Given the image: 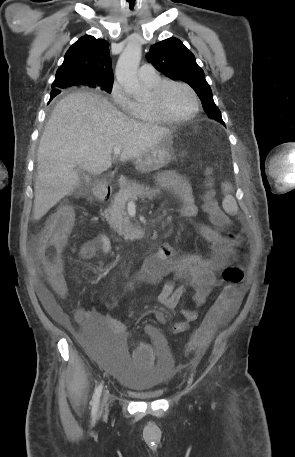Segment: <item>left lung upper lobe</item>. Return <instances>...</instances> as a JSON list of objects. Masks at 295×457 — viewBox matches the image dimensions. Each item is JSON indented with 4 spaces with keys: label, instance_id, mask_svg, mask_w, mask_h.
<instances>
[{
    "label": "left lung upper lobe",
    "instance_id": "obj_1",
    "mask_svg": "<svg viewBox=\"0 0 295 457\" xmlns=\"http://www.w3.org/2000/svg\"><path fill=\"white\" fill-rule=\"evenodd\" d=\"M146 57L165 76L190 85L201 99L208 117L225 125L203 70L179 39L172 37L152 45Z\"/></svg>",
    "mask_w": 295,
    "mask_h": 457
}]
</instances>
